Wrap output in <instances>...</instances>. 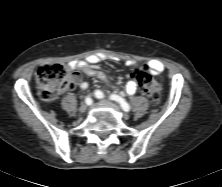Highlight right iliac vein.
Here are the masks:
<instances>
[{
	"mask_svg": "<svg viewBox=\"0 0 222 187\" xmlns=\"http://www.w3.org/2000/svg\"><path fill=\"white\" fill-rule=\"evenodd\" d=\"M88 109V106L86 104H82L80 107H79V112L80 113H84L86 112Z\"/></svg>",
	"mask_w": 222,
	"mask_h": 187,
	"instance_id": "right-iliac-vein-1",
	"label": "right iliac vein"
}]
</instances>
